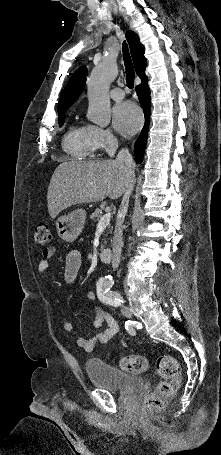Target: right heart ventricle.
Listing matches in <instances>:
<instances>
[{"instance_id":"obj_1","label":"right heart ventricle","mask_w":221,"mask_h":455,"mask_svg":"<svg viewBox=\"0 0 221 455\" xmlns=\"http://www.w3.org/2000/svg\"><path fill=\"white\" fill-rule=\"evenodd\" d=\"M63 149L76 159L91 158L95 152L89 125H72L63 138Z\"/></svg>"}]
</instances>
